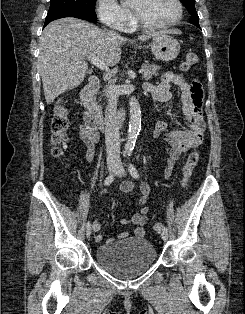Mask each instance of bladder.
Instances as JSON below:
<instances>
[{"label": "bladder", "instance_id": "obj_1", "mask_svg": "<svg viewBox=\"0 0 245 314\" xmlns=\"http://www.w3.org/2000/svg\"><path fill=\"white\" fill-rule=\"evenodd\" d=\"M156 258L155 247L145 238L105 242L95 250L96 261L120 277H131L146 271Z\"/></svg>", "mask_w": 245, "mask_h": 314}]
</instances>
